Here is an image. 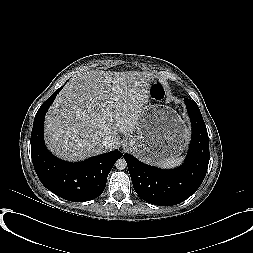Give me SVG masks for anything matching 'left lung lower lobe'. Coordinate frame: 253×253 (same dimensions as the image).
Here are the masks:
<instances>
[{"instance_id":"left-lung-lower-lobe-1","label":"left lung lower lobe","mask_w":253,"mask_h":253,"mask_svg":"<svg viewBox=\"0 0 253 253\" xmlns=\"http://www.w3.org/2000/svg\"><path fill=\"white\" fill-rule=\"evenodd\" d=\"M192 124V140L184 163L172 170L146 165L132 155L124 154L133 187L145 201L154 205H176L199 188L209 163L208 133L195 101L185 99Z\"/></svg>"}]
</instances>
